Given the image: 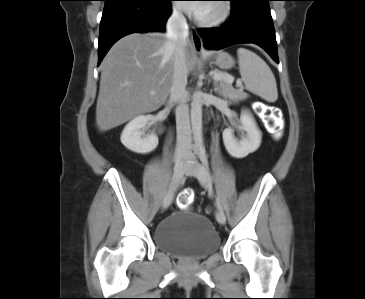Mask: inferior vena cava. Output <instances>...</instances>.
Wrapping results in <instances>:
<instances>
[{"label":"inferior vena cava","instance_id":"inferior-vena-cava-1","mask_svg":"<svg viewBox=\"0 0 365 299\" xmlns=\"http://www.w3.org/2000/svg\"><path fill=\"white\" fill-rule=\"evenodd\" d=\"M167 37L174 47L173 81L170 89V102L178 103L176 107L177 145L175 157L180 159L190 154L191 126L189 107L187 104V65L185 60V46L188 41V25L180 10L174 8L167 24Z\"/></svg>","mask_w":365,"mask_h":299}]
</instances>
